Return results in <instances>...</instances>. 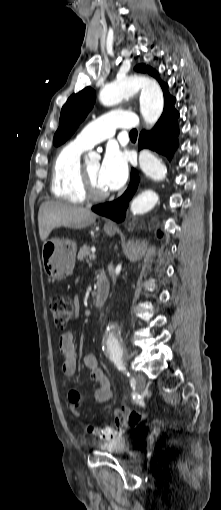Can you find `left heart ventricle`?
<instances>
[{
	"instance_id": "1",
	"label": "left heart ventricle",
	"mask_w": 221,
	"mask_h": 510,
	"mask_svg": "<svg viewBox=\"0 0 221 510\" xmlns=\"http://www.w3.org/2000/svg\"><path fill=\"white\" fill-rule=\"evenodd\" d=\"M94 189L98 192H107L99 181L100 163L92 162L85 166Z\"/></svg>"
}]
</instances>
